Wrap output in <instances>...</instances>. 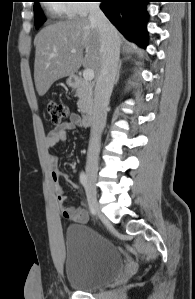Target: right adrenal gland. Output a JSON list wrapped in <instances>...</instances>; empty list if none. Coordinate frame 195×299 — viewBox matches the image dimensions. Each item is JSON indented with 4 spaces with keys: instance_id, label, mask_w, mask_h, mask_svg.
Here are the masks:
<instances>
[{
    "instance_id": "2a0ac1e0",
    "label": "right adrenal gland",
    "mask_w": 195,
    "mask_h": 299,
    "mask_svg": "<svg viewBox=\"0 0 195 299\" xmlns=\"http://www.w3.org/2000/svg\"><path fill=\"white\" fill-rule=\"evenodd\" d=\"M121 68H122V61L119 62V65H118V69H117V74H116V79H115V82L114 84L116 85L118 80H119V77H120V73H121Z\"/></svg>"
}]
</instances>
